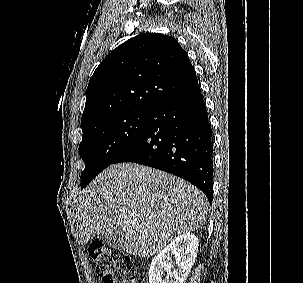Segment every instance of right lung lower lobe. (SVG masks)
<instances>
[{"mask_svg": "<svg viewBox=\"0 0 303 283\" xmlns=\"http://www.w3.org/2000/svg\"><path fill=\"white\" fill-rule=\"evenodd\" d=\"M135 162L181 177L213 199V138L200 85L158 109L113 163Z\"/></svg>", "mask_w": 303, "mask_h": 283, "instance_id": "obj_1", "label": "right lung lower lobe"}]
</instances>
